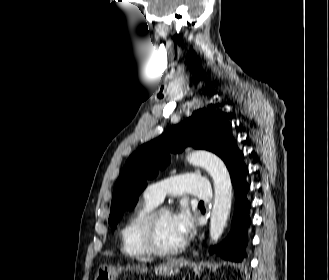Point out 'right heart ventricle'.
Wrapping results in <instances>:
<instances>
[{
    "instance_id": "right-heart-ventricle-1",
    "label": "right heart ventricle",
    "mask_w": 329,
    "mask_h": 280,
    "mask_svg": "<svg viewBox=\"0 0 329 280\" xmlns=\"http://www.w3.org/2000/svg\"><path fill=\"white\" fill-rule=\"evenodd\" d=\"M158 205V202L144 194L142 200L131 211L124 222L120 237L122 252L130 257H142L149 252L140 239V226L146 215Z\"/></svg>"
}]
</instances>
